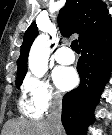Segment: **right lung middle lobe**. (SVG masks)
Returning a JSON list of instances; mask_svg holds the SVG:
<instances>
[{"label": "right lung middle lobe", "instance_id": "obj_1", "mask_svg": "<svg viewBox=\"0 0 112 135\" xmlns=\"http://www.w3.org/2000/svg\"><path fill=\"white\" fill-rule=\"evenodd\" d=\"M23 79L24 78L16 79V86H17V88L20 87V85L22 84Z\"/></svg>", "mask_w": 112, "mask_h": 135}]
</instances>
